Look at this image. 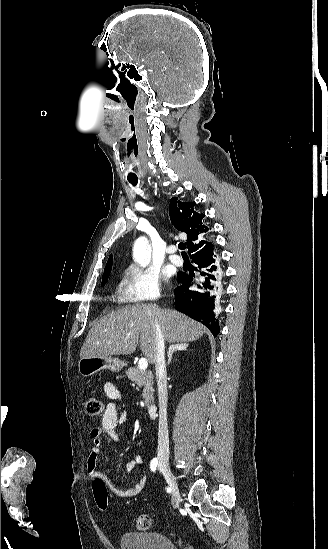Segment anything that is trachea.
Here are the masks:
<instances>
[{
  "label": "trachea",
  "mask_w": 328,
  "mask_h": 549,
  "mask_svg": "<svg viewBox=\"0 0 328 549\" xmlns=\"http://www.w3.org/2000/svg\"><path fill=\"white\" fill-rule=\"evenodd\" d=\"M129 182L133 186H136L138 181L137 180H129ZM178 247L181 251H184V249L186 248V245L183 242H181V243H179ZM182 255H186L185 252H182Z\"/></svg>",
  "instance_id": "3493384b"
}]
</instances>
